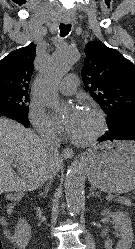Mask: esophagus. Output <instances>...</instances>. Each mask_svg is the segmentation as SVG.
Returning <instances> with one entry per match:
<instances>
[{"label":"esophagus","mask_w":135,"mask_h":249,"mask_svg":"<svg viewBox=\"0 0 135 249\" xmlns=\"http://www.w3.org/2000/svg\"><path fill=\"white\" fill-rule=\"evenodd\" d=\"M69 21H65V23H68ZM62 156L65 158H73L74 151L71 148H64L62 150Z\"/></svg>","instance_id":"1"}]
</instances>
